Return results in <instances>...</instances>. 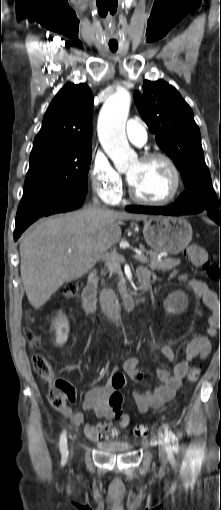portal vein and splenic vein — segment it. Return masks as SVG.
Returning <instances> with one entry per match:
<instances>
[{"label":"portal vein and splenic vein","mask_w":221,"mask_h":510,"mask_svg":"<svg viewBox=\"0 0 221 510\" xmlns=\"http://www.w3.org/2000/svg\"><path fill=\"white\" fill-rule=\"evenodd\" d=\"M69 253L72 252V250H69L68 251ZM135 260L139 261V262H142V263H147L148 262V259L142 254V253H137L136 255H133L132 256ZM102 260H104L106 263L107 262H114V261H117V260H120L122 262L125 261V257L123 255H120L118 253H104L102 255Z\"/></svg>","instance_id":"obj_1"}]
</instances>
